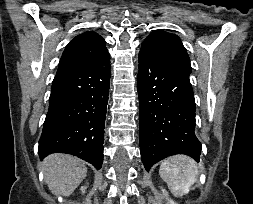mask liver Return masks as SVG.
<instances>
[{
	"instance_id": "1",
	"label": "liver",
	"mask_w": 253,
	"mask_h": 204,
	"mask_svg": "<svg viewBox=\"0 0 253 204\" xmlns=\"http://www.w3.org/2000/svg\"><path fill=\"white\" fill-rule=\"evenodd\" d=\"M45 182L55 195L70 196L87 175V168L77 157L55 153L42 163Z\"/></svg>"
}]
</instances>
